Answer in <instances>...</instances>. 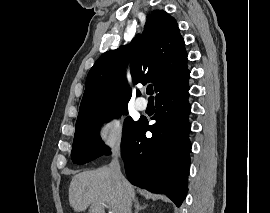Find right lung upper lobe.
I'll list each match as a JSON object with an SVG mask.
<instances>
[{
    "label": "right lung upper lobe",
    "instance_id": "1",
    "mask_svg": "<svg viewBox=\"0 0 270 213\" xmlns=\"http://www.w3.org/2000/svg\"><path fill=\"white\" fill-rule=\"evenodd\" d=\"M128 58L134 84L151 82L158 93L177 80L187 70L188 59L176 20L163 10H154L147 16L142 35L129 46L99 57L88 73L77 122L127 105L131 98L125 79Z\"/></svg>",
    "mask_w": 270,
    "mask_h": 213
}]
</instances>
